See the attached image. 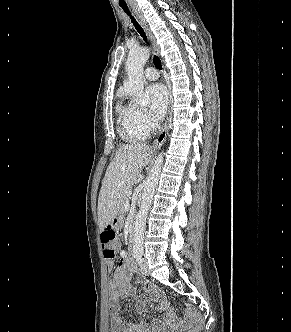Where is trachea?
<instances>
[{
	"instance_id": "3493384b",
	"label": "trachea",
	"mask_w": 291,
	"mask_h": 332,
	"mask_svg": "<svg viewBox=\"0 0 291 332\" xmlns=\"http://www.w3.org/2000/svg\"><path fill=\"white\" fill-rule=\"evenodd\" d=\"M120 7H122V9L130 16L131 20H132V23L134 24L136 30L139 32V34L143 37L144 40L147 39L146 35H145V32L144 30L142 29V27L136 22V20L132 17V15L130 14V11L126 5L125 2H121L120 4ZM154 65L156 66V68H158L159 70L162 69V64H161V61L160 59L157 57V56H154Z\"/></svg>"
}]
</instances>
